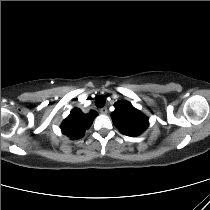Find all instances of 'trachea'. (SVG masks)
Returning a JSON list of instances; mask_svg holds the SVG:
<instances>
[{"label":"trachea","instance_id":"3493384b","mask_svg":"<svg viewBox=\"0 0 210 210\" xmlns=\"http://www.w3.org/2000/svg\"><path fill=\"white\" fill-rule=\"evenodd\" d=\"M106 103V100L103 96H98L96 99H95V105L98 107V108H102Z\"/></svg>","mask_w":210,"mask_h":210}]
</instances>
